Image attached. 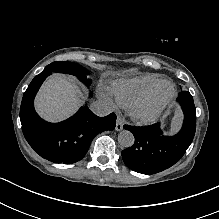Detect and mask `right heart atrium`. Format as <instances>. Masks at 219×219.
<instances>
[{
	"instance_id": "right-heart-atrium-1",
	"label": "right heart atrium",
	"mask_w": 219,
	"mask_h": 219,
	"mask_svg": "<svg viewBox=\"0 0 219 219\" xmlns=\"http://www.w3.org/2000/svg\"><path fill=\"white\" fill-rule=\"evenodd\" d=\"M99 96L106 101L109 108H111V109L116 108L115 103L113 102V100L106 93L99 92Z\"/></svg>"
}]
</instances>
